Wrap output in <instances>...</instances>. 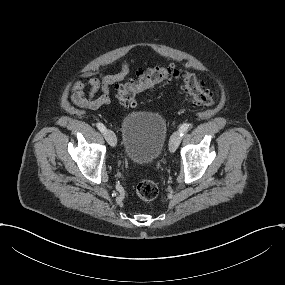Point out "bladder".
I'll list each match as a JSON object with an SVG mask.
<instances>
[{"label": "bladder", "mask_w": 285, "mask_h": 285, "mask_svg": "<svg viewBox=\"0 0 285 285\" xmlns=\"http://www.w3.org/2000/svg\"><path fill=\"white\" fill-rule=\"evenodd\" d=\"M121 147L124 157L137 165H150L162 154L168 128L162 114L135 111L121 123Z\"/></svg>", "instance_id": "obj_1"}]
</instances>
